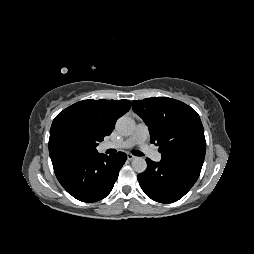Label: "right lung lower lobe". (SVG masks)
Listing matches in <instances>:
<instances>
[{"instance_id": "obj_1", "label": "right lung lower lobe", "mask_w": 254, "mask_h": 254, "mask_svg": "<svg viewBox=\"0 0 254 254\" xmlns=\"http://www.w3.org/2000/svg\"><path fill=\"white\" fill-rule=\"evenodd\" d=\"M126 154H62L51 158L54 172L63 188L82 202L105 198L112 190Z\"/></svg>"}]
</instances>
